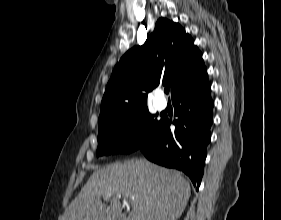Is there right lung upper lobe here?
<instances>
[{
    "label": "right lung upper lobe",
    "mask_w": 281,
    "mask_h": 220,
    "mask_svg": "<svg viewBox=\"0 0 281 220\" xmlns=\"http://www.w3.org/2000/svg\"><path fill=\"white\" fill-rule=\"evenodd\" d=\"M208 79L202 53L177 23L160 18L142 46L127 51L107 84L98 119L103 122L147 108V93L160 82L172 97Z\"/></svg>",
    "instance_id": "cb5924a9"
}]
</instances>
